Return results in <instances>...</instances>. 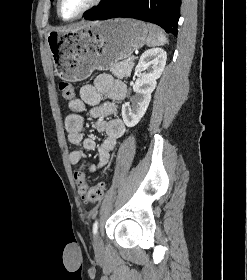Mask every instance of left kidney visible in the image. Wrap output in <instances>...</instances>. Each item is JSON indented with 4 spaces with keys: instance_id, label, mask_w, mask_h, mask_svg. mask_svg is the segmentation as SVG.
<instances>
[{
    "instance_id": "left-kidney-1",
    "label": "left kidney",
    "mask_w": 247,
    "mask_h": 280,
    "mask_svg": "<svg viewBox=\"0 0 247 280\" xmlns=\"http://www.w3.org/2000/svg\"><path fill=\"white\" fill-rule=\"evenodd\" d=\"M166 60L167 54L162 48L148 49L141 55L135 68V76L139 77L133 85L136 95L131 105L127 102L122 106V118L127 127H134L144 116L157 79L165 68ZM145 69L147 72H142Z\"/></svg>"
}]
</instances>
